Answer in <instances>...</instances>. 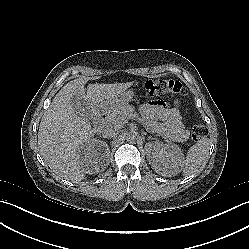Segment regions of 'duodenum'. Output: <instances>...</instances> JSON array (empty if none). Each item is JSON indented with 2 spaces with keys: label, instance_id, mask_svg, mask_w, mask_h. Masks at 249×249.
<instances>
[{
  "label": "duodenum",
  "instance_id": "1",
  "mask_svg": "<svg viewBox=\"0 0 249 249\" xmlns=\"http://www.w3.org/2000/svg\"><path fill=\"white\" fill-rule=\"evenodd\" d=\"M106 121H107V115L104 114V115L102 116V118H101V122H102V123H105Z\"/></svg>",
  "mask_w": 249,
  "mask_h": 249
}]
</instances>
